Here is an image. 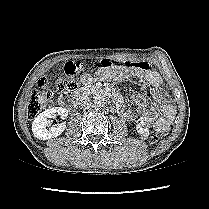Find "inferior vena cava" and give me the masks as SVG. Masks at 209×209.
I'll list each match as a JSON object with an SVG mask.
<instances>
[{
    "instance_id": "1",
    "label": "inferior vena cava",
    "mask_w": 209,
    "mask_h": 209,
    "mask_svg": "<svg viewBox=\"0 0 209 209\" xmlns=\"http://www.w3.org/2000/svg\"><path fill=\"white\" fill-rule=\"evenodd\" d=\"M79 107L83 110L90 109L92 107L91 98L88 96H82L79 98Z\"/></svg>"
}]
</instances>
